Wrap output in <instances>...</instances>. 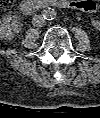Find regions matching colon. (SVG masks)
<instances>
[{
  "mask_svg": "<svg viewBox=\"0 0 100 118\" xmlns=\"http://www.w3.org/2000/svg\"><path fill=\"white\" fill-rule=\"evenodd\" d=\"M14 0H0L1 7L6 10L10 8L13 4ZM81 6H84L85 9L89 11H95L97 9V4L95 0H88L87 3L82 4Z\"/></svg>",
  "mask_w": 100,
  "mask_h": 118,
  "instance_id": "5ec220e1",
  "label": "colon"
}]
</instances>
